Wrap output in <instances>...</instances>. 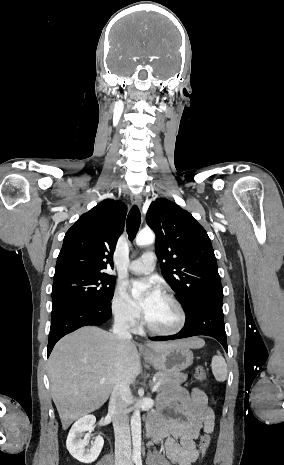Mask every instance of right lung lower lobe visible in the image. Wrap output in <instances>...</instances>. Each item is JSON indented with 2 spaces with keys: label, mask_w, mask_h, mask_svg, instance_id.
<instances>
[{
  "label": "right lung lower lobe",
  "mask_w": 284,
  "mask_h": 465,
  "mask_svg": "<svg viewBox=\"0 0 284 465\" xmlns=\"http://www.w3.org/2000/svg\"><path fill=\"white\" fill-rule=\"evenodd\" d=\"M111 318L110 303L71 302L52 312L47 356L56 342L86 325H102Z\"/></svg>",
  "instance_id": "right-lung-lower-lobe-1"
}]
</instances>
